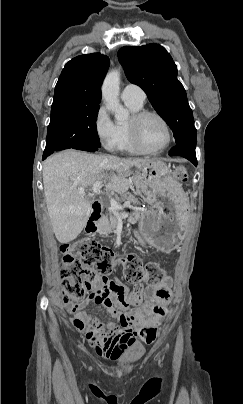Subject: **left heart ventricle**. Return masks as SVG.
I'll use <instances>...</instances> for the list:
<instances>
[{
	"instance_id": "obj_1",
	"label": "left heart ventricle",
	"mask_w": 243,
	"mask_h": 404,
	"mask_svg": "<svg viewBox=\"0 0 243 404\" xmlns=\"http://www.w3.org/2000/svg\"><path fill=\"white\" fill-rule=\"evenodd\" d=\"M129 122V121H128ZM137 134L144 145L151 149L161 148L168 139L165 124L157 116L145 117L137 126Z\"/></svg>"
}]
</instances>
